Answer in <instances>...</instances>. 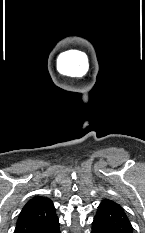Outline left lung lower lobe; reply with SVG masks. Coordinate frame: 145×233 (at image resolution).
Here are the masks:
<instances>
[{"mask_svg": "<svg viewBox=\"0 0 145 233\" xmlns=\"http://www.w3.org/2000/svg\"><path fill=\"white\" fill-rule=\"evenodd\" d=\"M91 233H112L107 228H105L103 225L98 223L97 221H93L92 223V231Z\"/></svg>", "mask_w": 145, "mask_h": 233, "instance_id": "0a47b994", "label": "left lung lower lobe"}]
</instances>
